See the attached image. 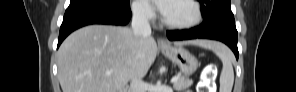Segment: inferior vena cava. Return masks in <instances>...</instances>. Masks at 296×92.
<instances>
[{"label":"inferior vena cava","mask_w":296,"mask_h":92,"mask_svg":"<svg viewBox=\"0 0 296 92\" xmlns=\"http://www.w3.org/2000/svg\"><path fill=\"white\" fill-rule=\"evenodd\" d=\"M150 9L146 5L133 10L132 31L135 37L150 36L151 27L148 21ZM131 92H146L145 84L140 77H133L130 82Z\"/></svg>","instance_id":"obj_1"}]
</instances>
